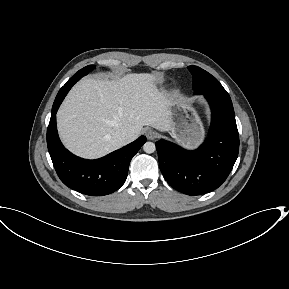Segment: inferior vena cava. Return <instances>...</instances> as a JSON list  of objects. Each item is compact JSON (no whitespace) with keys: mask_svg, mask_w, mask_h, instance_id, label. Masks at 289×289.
Segmentation results:
<instances>
[{"mask_svg":"<svg viewBox=\"0 0 289 289\" xmlns=\"http://www.w3.org/2000/svg\"><path fill=\"white\" fill-rule=\"evenodd\" d=\"M113 138L118 145L123 146L127 142V133L125 131H117L113 135Z\"/></svg>","mask_w":289,"mask_h":289,"instance_id":"obj_1","label":"inferior vena cava"}]
</instances>
